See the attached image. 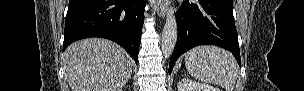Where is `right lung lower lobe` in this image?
<instances>
[{"label": "right lung lower lobe", "mask_w": 304, "mask_h": 91, "mask_svg": "<svg viewBox=\"0 0 304 91\" xmlns=\"http://www.w3.org/2000/svg\"><path fill=\"white\" fill-rule=\"evenodd\" d=\"M146 0H70L63 50L72 42L101 37L121 45L138 61Z\"/></svg>", "instance_id": "1"}]
</instances>
